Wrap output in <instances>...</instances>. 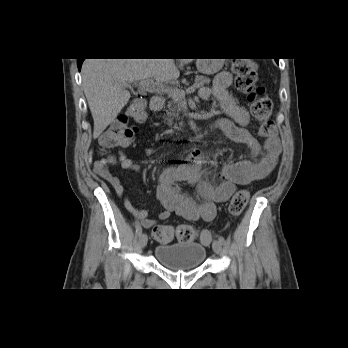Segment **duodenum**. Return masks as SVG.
I'll return each mask as SVG.
<instances>
[{
  "label": "duodenum",
  "mask_w": 348,
  "mask_h": 348,
  "mask_svg": "<svg viewBox=\"0 0 348 348\" xmlns=\"http://www.w3.org/2000/svg\"><path fill=\"white\" fill-rule=\"evenodd\" d=\"M164 105V100L161 97H153L150 100V108L152 111H159ZM196 139V136H193Z\"/></svg>",
  "instance_id": "obj_1"
}]
</instances>
